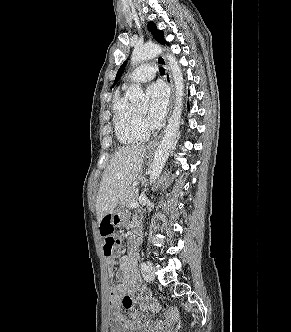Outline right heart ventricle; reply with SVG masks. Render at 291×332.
I'll use <instances>...</instances> for the list:
<instances>
[{
    "label": "right heart ventricle",
    "instance_id": "obj_1",
    "mask_svg": "<svg viewBox=\"0 0 291 332\" xmlns=\"http://www.w3.org/2000/svg\"><path fill=\"white\" fill-rule=\"evenodd\" d=\"M113 124L116 137L123 144L138 143L148 136L136 108L125 95L117 96L113 102Z\"/></svg>",
    "mask_w": 291,
    "mask_h": 332
}]
</instances>
